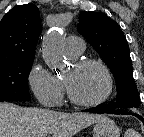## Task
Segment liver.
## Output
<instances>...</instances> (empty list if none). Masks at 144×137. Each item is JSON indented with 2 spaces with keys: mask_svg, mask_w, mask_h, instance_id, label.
<instances>
[{
  "mask_svg": "<svg viewBox=\"0 0 144 137\" xmlns=\"http://www.w3.org/2000/svg\"><path fill=\"white\" fill-rule=\"evenodd\" d=\"M100 114L64 113L0 102V137H73Z\"/></svg>",
  "mask_w": 144,
  "mask_h": 137,
  "instance_id": "obj_1",
  "label": "liver"
}]
</instances>
